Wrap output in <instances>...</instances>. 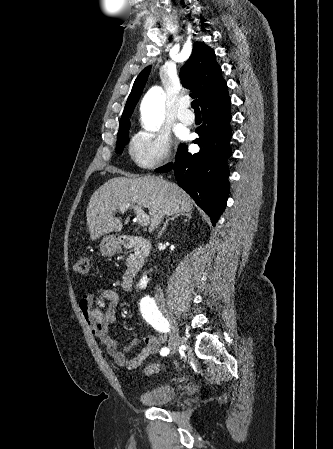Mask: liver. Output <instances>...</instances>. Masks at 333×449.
Listing matches in <instances>:
<instances>
[{"instance_id": "obj_1", "label": "liver", "mask_w": 333, "mask_h": 449, "mask_svg": "<svg viewBox=\"0 0 333 449\" xmlns=\"http://www.w3.org/2000/svg\"><path fill=\"white\" fill-rule=\"evenodd\" d=\"M137 204L148 209L151 216L149 232H153L164 216L192 212L193 200L174 183L158 177H116L100 186L87 207L90 239L97 240L123 227L115 212L121 206ZM129 218L126 219L127 224Z\"/></svg>"}]
</instances>
